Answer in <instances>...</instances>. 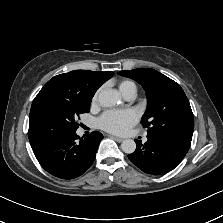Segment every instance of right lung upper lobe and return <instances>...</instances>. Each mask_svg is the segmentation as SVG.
<instances>
[{
    "label": "right lung upper lobe",
    "mask_w": 223,
    "mask_h": 223,
    "mask_svg": "<svg viewBox=\"0 0 223 223\" xmlns=\"http://www.w3.org/2000/svg\"><path fill=\"white\" fill-rule=\"evenodd\" d=\"M110 71L74 70L49 80L42 91H52L79 101H91L96 90L113 76Z\"/></svg>",
    "instance_id": "right-lung-upper-lobe-1"
}]
</instances>
